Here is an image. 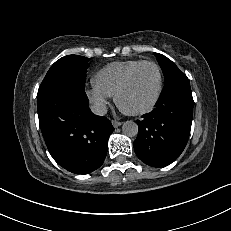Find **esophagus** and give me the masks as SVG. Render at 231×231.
Listing matches in <instances>:
<instances>
[{
  "mask_svg": "<svg viewBox=\"0 0 231 231\" xmlns=\"http://www.w3.org/2000/svg\"><path fill=\"white\" fill-rule=\"evenodd\" d=\"M112 125H113L115 128H117V127H119V126L122 125V122H121V121H117V120H112Z\"/></svg>",
  "mask_w": 231,
  "mask_h": 231,
  "instance_id": "1",
  "label": "esophagus"
}]
</instances>
